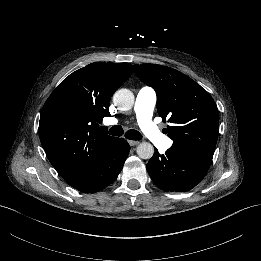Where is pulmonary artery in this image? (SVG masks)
Masks as SVG:
<instances>
[{"mask_svg": "<svg viewBox=\"0 0 261 261\" xmlns=\"http://www.w3.org/2000/svg\"><path fill=\"white\" fill-rule=\"evenodd\" d=\"M157 96L155 91L147 86L142 87L136 96L134 111L139 127L147 135L152 144L160 149L169 150L172 141L169 137L160 134L159 129L152 123V116L156 106ZM112 124L117 120L112 118Z\"/></svg>", "mask_w": 261, "mask_h": 261, "instance_id": "obj_1", "label": "pulmonary artery"}]
</instances>
